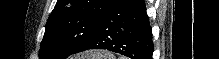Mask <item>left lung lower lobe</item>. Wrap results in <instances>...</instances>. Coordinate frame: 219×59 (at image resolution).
Returning <instances> with one entry per match:
<instances>
[{
	"label": "left lung lower lobe",
	"instance_id": "0a47b994",
	"mask_svg": "<svg viewBox=\"0 0 219 59\" xmlns=\"http://www.w3.org/2000/svg\"><path fill=\"white\" fill-rule=\"evenodd\" d=\"M105 49L130 59H152V31L143 0H113L90 39L74 53Z\"/></svg>",
	"mask_w": 219,
	"mask_h": 59
}]
</instances>
